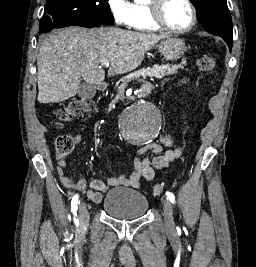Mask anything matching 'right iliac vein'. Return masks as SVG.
<instances>
[{
	"label": "right iliac vein",
	"instance_id": "obj_1",
	"mask_svg": "<svg viewBox=\"0 0 256 267\" xmlns=\"http://www.w3.org/2000/svg\"><path fill=\"white\" fill-rule=\"evenodd\" d=\"M80 226L84 228L89 223V212L85 203L79 205Z\"/></svg>",
	"mask_w": 256,
	"mask_h": 267
}]
</instances>
